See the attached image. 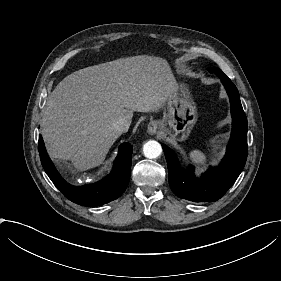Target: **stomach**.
Returning <instances> with one entry per match:
<instances>
[{
	"instance_id": "stomach-1",
	"label": "stomach",
	"mask_w": 281,
	"mask_h": 281,
	"mask_svg": "<svg viewBox=\"0 0 281 281\" xmlns=\"http://www.w3.org/2000/svg\"><path fill=\"white\" fill-rule=\"evenodd\" d=\"M197 121V110L190 91L182 84L174 96L168 100L163 112V119L157 122L159 132L168 141L176 137L182 141L187 138ZM169 135V138L167 136Z\"/></svg>"
}]
</instances>
